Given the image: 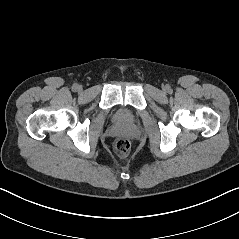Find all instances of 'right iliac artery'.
<instances>
[{
  "label": "right iliac artery",
  "mask_w": 239,
  "mask_h": 239,
  "mask_svg": "<svg viewBox=\"0 0 239 239\" xmlns=\"http://www.w3.org/2000/svg\"><path fill=\"white\" fill-rule=\"evenodd\" d=\"M78 86H79L78 84H73L72 89L77 90Z\"/></svg>",
  "instance_id": "right-iliac-artery-1"
}]
</instances>
